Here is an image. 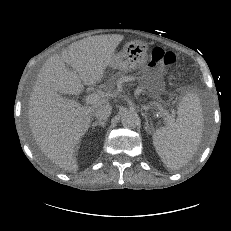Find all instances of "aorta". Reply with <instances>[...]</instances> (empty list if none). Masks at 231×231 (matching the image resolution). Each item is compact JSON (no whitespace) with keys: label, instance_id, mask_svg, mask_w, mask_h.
Wrapping results in <instances>:
<instances>
[{"label":"aorta","instance_id":"1","mask_svg":"<svg viewBox=\"0 0 231 231\" xmlns=\"http://www.w3.org/2000/svg\"><path fill=\"white\" fill-rule=\"evenodd\" d=\"M121 123L126 128H135L139 124V117L134 112H127L122 115Z\"/></svg>","mask_w":231,"mask_h":231}]
</instances>
